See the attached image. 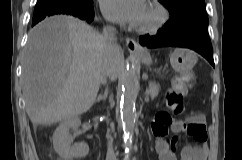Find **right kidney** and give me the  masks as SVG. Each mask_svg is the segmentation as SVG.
<instances>
[{
    "instance_id": "right-kidney-1",
    "label": "right kidney",
    "mask_w": 242,
    "mask_h": 160,
    "mask_svg": "<svg viewBox=\"0 0 242 160\" xmlns=\"http://www.w3.org/2000/svg\"><path fill=\"white\" fill-rule=\"evenodd\" d=\"M80 124L79 118L64 120L53 134L54 149L64 160L83 158L89 153V147L85 143L71 145L73 138L69 134V130L77 129Z\"/></svg>"
}]
</instances>
